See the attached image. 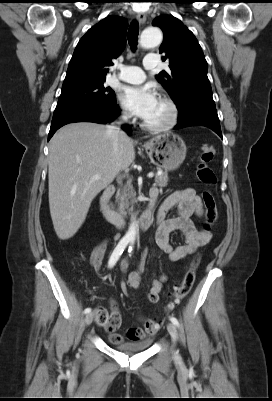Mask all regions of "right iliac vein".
Instances as JSON below:
<instances>
[{"instance_id": "obj_1", "label": "right iliac vein", "mask_w": 272, "mask_h": 401, "mask_svg": "<svg viewBox=\"0 0 272 401\" xmlns=\"http://www.w3.org/2000/svg\"><path fill=\"white\" fill-rule=\"evenodd\" d=\"M94 315L92 313L86 315L85 317V324L90 325L93 321Z\"/></svg>"}]
</instances>
